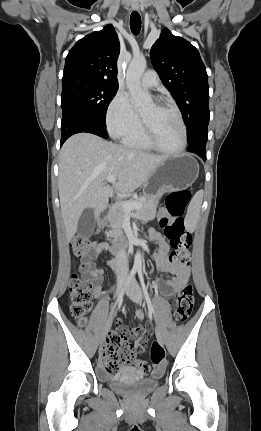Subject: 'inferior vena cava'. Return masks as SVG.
<instances>
[{"mask_svg":"<svg viewBox=\"0 0 261 431\" xmlns=\"http://www.w3.org/2000/svg\"><path fill=\"white\" fill-rule=\"evenodd\" d=\"M117 259L121 261V265L117 269V275L118 276H126L127 275V258H126V252L124 249H121L117 253Z\"/></svg>","mask_w":261,"mask_h":431,"instance_id":"inferior-vena-cava-1","label":"inferior vena cava"}]
</instances>
